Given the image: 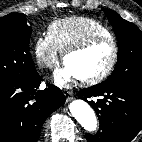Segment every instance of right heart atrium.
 <instances>
[{
	"label": "right heart atrium",
	"mask_w": 142,
	"mask_h": 142,
	"mask_svg": "<svg viewBox=\"0 0 142 142\" xmlns=\"http://www.w3.org/2000/svg\"><path fill=\"white\" fill-rule=\"evenodd\" d=\"M33 52L38 65L43 69H51L58 62L59 50L48 35H40L35 39Z\"/></svg>",
	"instance_id": "right-heart-atrium-1"
}]
</instances>
